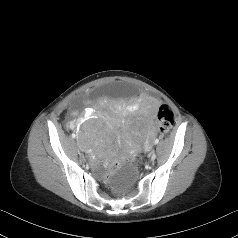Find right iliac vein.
<instances>
[{"label": "right iliac vein", "mask_w": 238, "mask_h": 238, "mask_svg": "<svg viewBox=\"0 0 238 238\" xmlns=\"http://www.w3.org/2000/svg\"><path fill=\"white\" fill-rule=\"evenodd\" d=\"M77 155H81V152L79 149H76Z\"/></svg>", "instance_id": "right-iliac-vein-1"}]
</instances>
